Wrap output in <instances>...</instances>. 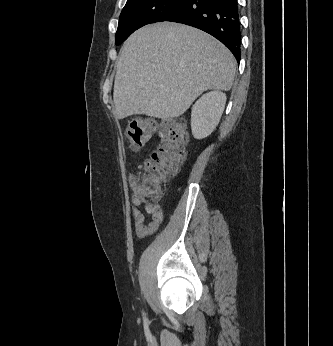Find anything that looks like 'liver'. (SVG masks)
<instances>
[{"label":"liver","mask_w":333,"mask_h":346,"mask_svg":"<svg viewBox=\"0 0 333 346\" xmlns=\"http://www.w3.org/2000/svg\"><path fill=\"white\" fill-rule=\"evenodd\" d=\"M236 61L211 35L178 23L135 31L120 49L113 99L115 115L181 116L209 89L229 91Z\"/></svg>","instance_id":"obj_1"}]
</instances>
